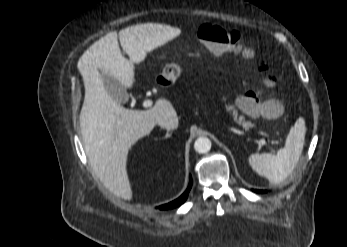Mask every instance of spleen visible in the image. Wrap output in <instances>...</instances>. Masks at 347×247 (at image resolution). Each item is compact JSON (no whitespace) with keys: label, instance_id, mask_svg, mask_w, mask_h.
<instances>
[{"label":"spleen","instance_id":"1","mask_svg":"<svg viewBox=\"0 0 347 247\" xmlns=\"http://www.w3.org/2000/svg\"><path fill=\"white\" fill-rule=\"evenodd\" d=\"M306 126L303 118H299L286 138L285 146L277 154H252L248 162L260 176L267 178L272 184L283 182L295 169L302 154Z\"/></svg>","mask_w":347,"mask_h":247}]
</instances>
